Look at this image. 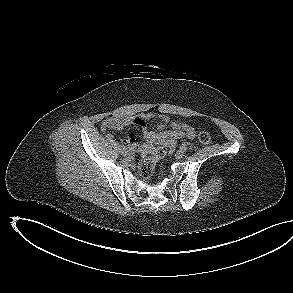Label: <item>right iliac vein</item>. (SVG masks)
<instances>
[{"label": "right iliac vein", "instance_id": "right-iliac-vein-1", "mask_svg": "<svg viewBox=\"0 0 293 293\" xmlns=\"http://www.w3.org/2000/svg\"><path fill=\"white\" fill-rule=\"evenodd\" d=\"M119 152L124 156L129 155V150L125 147L119 148Z\"/></svg>", "mask_w": 293, "mask_h": 293}]
</instances>
